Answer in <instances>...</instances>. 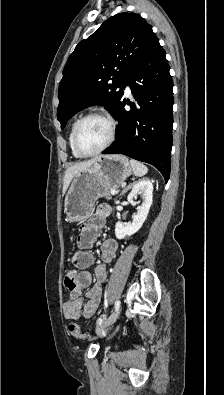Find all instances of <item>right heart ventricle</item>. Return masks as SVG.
I'll use <instances>...</instances> for the list:
<instances>
[{
  "label": "right heart ventricle",
  "instance_id": "right-heart-ventricle-1",
  "mask_svg": "<svg viewBox=\"0 0 224 395\" xmlns=\"http://www.w3.org/2000/svg\"><path fill=\"white\" fill-rule=\"evenodd\" d=\"M76 122L72 124V127L70 129V133H69V137H68V142H69V147L71 149L72 155L74 158H80L77 153L75 152L74 148H73V132H74V128H75Z\"/></svg>",
  "mask_w": 224,
  "mask_h": 395
}]
</instances>
